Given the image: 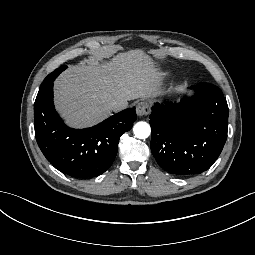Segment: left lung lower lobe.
<instances>
[{
    "label": "left lung lower lobe",
    "instance_id": "left-lung-lower-lobe-1",
    "mask_svg": "<svg viewBox=\"0 0 255 255\" xmlns=\"http://www.w3.org/2000/svg\"><path fill=\"white\" fill-rule=\"evenodd\" d=\"M193 97L180 103H156L150 114L151 151L159 166L190 176L209 169L219 157L228 129V105L215 85L191 87Z\"/></svg>",
    "mask_w": 255,
    "mask_h": 255
}]
</instances>
